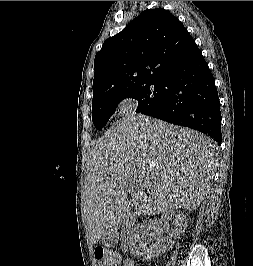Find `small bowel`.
<instances>
[{"label": "small bowel", "mask_w": 253, "mask_h": 266, "mask_svg": "<svg viewBox=\"0 0 253 266\" xmlns=\"http://www.w3.org/2000/svg\"><path fill=\"white\" fill-rule=\"evenodd\" d=\"M123 266H135L134 263L132 261H125L122 264Z\"/></svg>", "instance_id": "1"}]
</instances>
